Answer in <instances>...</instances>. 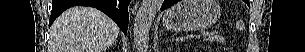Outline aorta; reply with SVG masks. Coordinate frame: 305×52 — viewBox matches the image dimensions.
Wrapping results in <instances>:
<instances>
[{
    "label": "aorta",
    "instance_id": "762f6f07",
    "mask_svg": "<svg viewBox=\"0 0 305 52\" xmlns=\"http://www.w3.org/2000/svg\"><path fill=\"white\" fill-rule=\"evenodd\" d=\"M162 3L163 0H142L133 26V40L138 49L147 48L149 31Z\"/></svg>",
    "mask_w": 305,
    "mask_h": 52
}]
</instances>
